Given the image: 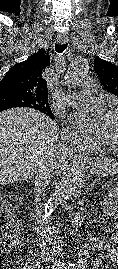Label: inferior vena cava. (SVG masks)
<instances>
[{"instance_id":"602c4592","label":"inferior vena cava","mask_w":118,"mask_h":269,"mask_svg":"<svg viewBox=\"0 0 118 269\" xmlns=\"http://www.w3.org/2000/svg\"><path fill=\"white\" fill-rule=\"evenodd\" d=\"M60 147V146H59ZM60 161H58L56 155H52L48 160L42 161L39 166L35 176V189H36V197H35V205L37 211V223L41 222V199L40 194L44 191L45 186L51 181L54 174L59 171Z\"/></svg>"}]
</instances>
